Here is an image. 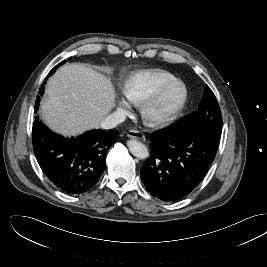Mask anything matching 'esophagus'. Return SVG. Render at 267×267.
Instances as JSON below:
<instances>
[{
    "mask_svg": "<svg viewBox=\"0 0 267 267\" xmlns=\"http://www.w3.org/2000/svg\"><path fill=\"white\" fill-rule=\"evenodd\" d=\"M127 136L129 138H135V139H139L141 141H144L145 140V136L141 132H139L137 130H131V131H129L127 133Z\"/></svg>",
    "mask_w": 267,
    "mask_h": 267,
    "instance_id": "34e87169",
    "label": "esophagus"
}]
</instances>
